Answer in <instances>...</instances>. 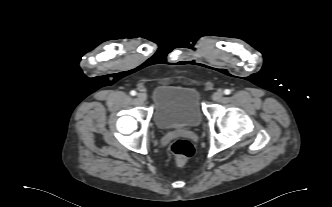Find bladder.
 <instances>
[{
	"mask_svg": "<svg viewBox=\"0 0 332 207\" xmlns=\"http://www.w3.org/2000/svg\"><path fill=\"white\" fill-rule=\"evenodd\" d=\"M152 104L153 122L162 130L196 127L203 119L200 93L192 87L157 86Z\"/></svg>",
	"mask_w": 332,
	"mask_h": 207,
	"instance_id": "bladder-1",
	"label": "bladder"
}]
</instances>
